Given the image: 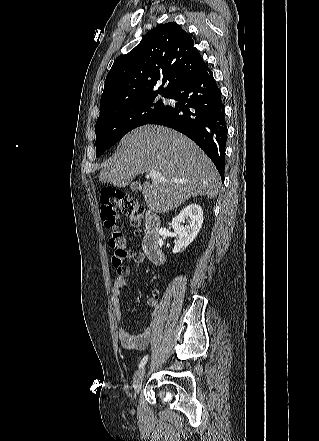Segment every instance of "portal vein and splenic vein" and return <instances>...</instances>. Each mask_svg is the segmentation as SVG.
I'll return each instance as SVG.
<instances>
[{"label": "portal vein and splenic vein", "mask_w": 319, "mask_h": 441, "mask_svg": "<svg viewBox=\"0 0 319 441\" xmlns=\"http://www.w3.org/2000/svg\"><path fill=\"white\" fill-rule=\"evenodd\" d=\"M148 178H151L152 180H160L162 182H167V179L163 176H161V174L158 171L152 170L149 172L148 174ZM171 181L175 182V183H181L182 181H179L177 179H172Z\"/></svg>", "instance_id": "1"}]
</instances>
